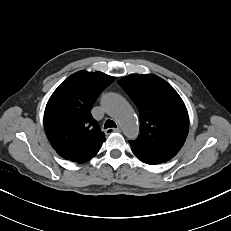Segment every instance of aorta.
Returning a JSON list of instances; mask_svg holds the SVG:
<instances>
[{"label": "aorta", "mask_w": 231, "mask_h": 231, "mask_svg": "<svg viewBox=\"0 0 231 231\" xmlns=\"http://www.w3.org/2000/svg\"><path fill=\"white\" fill-rule=\"evenodd\" d=\"M105 111L120 124L125 136L135 139L139 134L136 118L128 102L116 93H109L102 99Z\"/></svg>", "instance_id": "762f6f07"}]
</instances>
